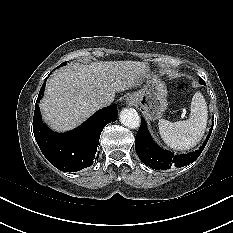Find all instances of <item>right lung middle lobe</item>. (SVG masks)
Masks as SVG:
<instances>
[{"mask_svg": "<svg viewBox=\"0 0 233 233\" xmlns=\"http://www.w3.org/2000/svg\"><path fill=\"white\" fill-rule=\"evenodd\" d=\"M67 62H64V63H62V64H60L59 66H63L64 64H66Z\"/></svg>", "mask_w": 233, "mask_h": 233, "instance_id": "obj_1", "label": "right lung middle lobe"}]
</instances>
